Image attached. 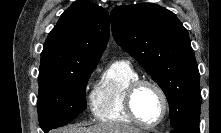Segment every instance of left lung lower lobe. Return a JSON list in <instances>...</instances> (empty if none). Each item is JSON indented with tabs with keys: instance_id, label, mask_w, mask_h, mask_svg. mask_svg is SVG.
Masks as SVG:
<instances>
[{
	"instance_id": "0a47b994",
	"label": "left lung lower lobe",
	"mask_w": 221,
	"mask_h": 133,
	"mask_svg": "<svg viewBox=\"0 0 221 133\" xmlns=\"http://www.w3.org/2000/svg\"><path fill=\"white\" fill-rule=\"evenodd\" d=\"M172 133H200L199 131V122L198 123H189L182 127L176 128Z\"/></svg>"
}]
</instances>
